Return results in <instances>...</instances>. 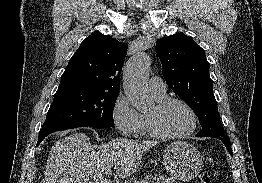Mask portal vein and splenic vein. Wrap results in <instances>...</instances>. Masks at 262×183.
Wrapping results in <instances>:
<instances>
[{
  "mask_svg": "<svg viewBox=\"0 0 262 183\" xmlns=\"http://www.w3.org/2000/svg\"><path fill=\"white\" fill-rule=\"evenodd\" d=\"M104 174H105V175H109V174H111V169L106 170V171L104 172Z\"/></svg>",
  "mask_w": 262,
  "mask_h": 183,
  "instance_id": "18ae733b",
  "label": "portal vein and splenic vein"
}]
</instances>
